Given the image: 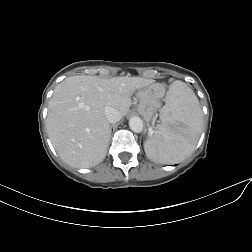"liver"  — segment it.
Segmentation results:
<instances>
[{
  "mask_svg": "<svg viewBox=\"0 0 252 252\" xmlns=\"http://www.w3.org/2000/svg\"><path fill=\"white\" fill-rule=\"evenodd\" d=\"M153 82L142 77L77 75L58 84L49 102L46 128L60 158L75 168L102 162L111 135L104 108L113 107L125 116L132 95Z\"/></svg>",
  "mask_w": 252,
  "mask_h": 252,
  "instance_id": "liver-1",
  "label": "liver"
}]
</instances>
